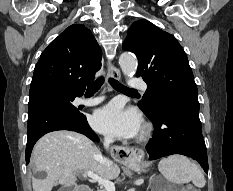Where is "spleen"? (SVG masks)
I'll list each match as a JSON object with an SVG mask.
<instances>
[{"instance_id": "3e777b00", "label": "spleen", "mask_w": 233, "mask_h": 191, "mask_svg": "<svg viewBox=\"0 0 233 191\" xmlns=\"http://www.w3.org/2000/svg\"><path fill=\"white\" fill-rule=\"evenodd\" d=\"M158 168L164 178L173 184H186L192 181L198 188L205 186L206 181L202 171L183 155L176 154L163 158Z\"/></svg>"}]
</instances>
